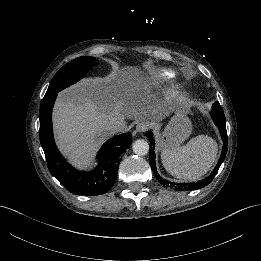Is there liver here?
Wrapping results in <instances>:
<instances>
[{
    "label": "liver",
    "mask_w": 261,
    "mask_h": 261,
    "mask_svg": "<svg viewBox=\"0 0 261 261\" xmlns=\"http://www.w3.org/2000/svg\"><path fill=\"white\" fill-rule=\"evenodd\" d=\"M163 101L131 70L115 71L105 79H85L59 94L54 125L62 150L86 165L101 142L111 135L107 126L117 118L159 121Z\"/></svg>",
    "instance_id": "1"
}]
</instances>
